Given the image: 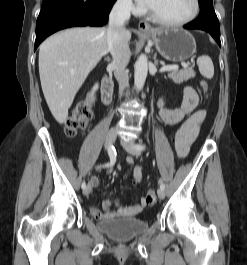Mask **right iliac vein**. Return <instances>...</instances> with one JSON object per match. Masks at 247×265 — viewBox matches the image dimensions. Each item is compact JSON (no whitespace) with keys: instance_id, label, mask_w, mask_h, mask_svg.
<instances>
[{"instance_id":"obj_1","label":"right iliac vein","mask_w":247,"mask_h":265,"mask_svg":"<svg viewBox=\"0 0 247 265\" xmlns=\"http://www.w3.org/2000/svg\"><path fill=\"white\" fill-rule=\"evenodd\" d=\"M117 137V132L116 129L112 128L109 130L107 136H106V142H105V148L109 149V147H111L113 145V143L115 142ZM91 192V186L88 185L84 190H83V194L85 196H88Z\"/></svg>"}]
</instances>
